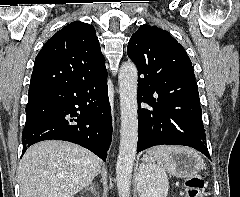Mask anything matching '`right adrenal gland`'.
<instances>
[{
	"label": "right adrenal gland",
	"instance_id": "obj_1",
	"mask_svg": "<svg viewBox=\"0 0 240 197\" xmlns=\"http://www.w3.org/2000/svg\"><path fill=\"white\" fill-rule=\"evenodd\" d=\"M88 190H90L91 193L94 195V197H96L97 192H96V189H95V187H94V183H91L90 186L87 187V188H85L84 191H88Z\"/></svg>",
	"mask_w": 240,
	"mask_h": 197
}]
</instances>
